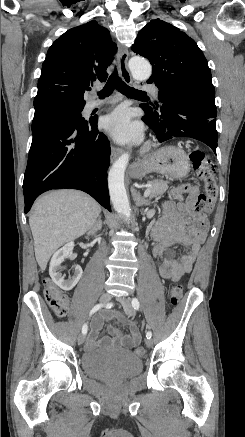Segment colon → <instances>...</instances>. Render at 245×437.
Listing matches in <instances>:
<instances>
[{
    "label": "colon",
    "mask_w": 245,
    "mask_h": 437,
    "mask_svg": "<svg viewBox=\"0 0 245 437\" xmlns=\"http://www.w3.org/2000/svg\"><path fill=\"white\" fill-rule=\"evenodd\" d=\"M190 160L198 176L204 182V193L197 194L195 186L186 184L173 191V198L179 200L185 195L194 200L195 207L199 212L211 213L218 194L213 165L208 156L200 150L192 151L190 153ZM44 295L47 303L57 315L64 316L67 314L69 308L68 296L49 279L45 281ZM181 296L182 288L179 285H174L170 288L168 294L170 304L176 305L180 301ZM135 353L140 357H144L146 349L142 346H137Z\"/></svg>",
    "instance_id": "obj_1"
}]
</instances>
